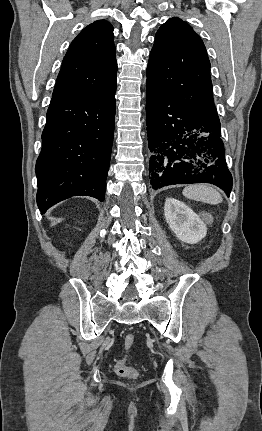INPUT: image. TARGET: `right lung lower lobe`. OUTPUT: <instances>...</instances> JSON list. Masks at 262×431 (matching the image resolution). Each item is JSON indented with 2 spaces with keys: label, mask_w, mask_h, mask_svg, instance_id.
Listing matches in <instances>:
<instances>
[{
  "label": "right lung lower lobe",
  "mask_w": 262,
  "mask_h": 431,
  "mask_svg": "<svg viewBox=\"0 0 262 431\" xmlns=\"http://www.w3.org/2000/svg\"><path fill=\"white\" fill-rule=\"evenodd\" d=\"M115 107V92L100 99L51 100L36 162L41 214L72 196L104 201Z\"/></svg>",
  "instance_id": "98d812e1"
}]
</instances>
